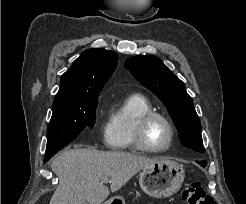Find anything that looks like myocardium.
Returning a JSON list of instances; mask_svg holds the SVG:
<instances>
[{
    "instance_id": "1",
    "label": "myocardium",
    "mask_w": 246,
    "mask_h": 204,
    "mask_svg": "<svg viewBox=\"0 0 246 204\" xmlns=\"http://www.w3.org/2000/svg\"><path fill=\"white\" fill-rule=\"evenodd\" d=\"M161 119L169 128L170 131V139L166 146L162 148H154L151 147L146 140V131L148 125L153 119ZM175 127L171 120L165 116L164 114L157 111H149L143 114L137 121L135 131H134V140L138 149L149 152V153H161L170 149L175 139Z\"/></svg>"
}]
</instances>
